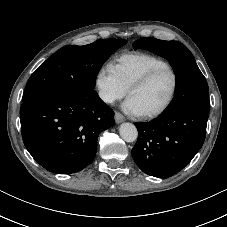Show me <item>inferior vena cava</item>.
Wrapping results in <instances>:
<instances>
[{
    "label": "inferior vena cava",
    "mask_w": 227,
    "mask_h": 227,
    "mask_svg": "<svg viewBox=\"0 0 227 227\" xmlns=\"http://www.w3.org/2000/svg\"><path fill=\"white\" fill-rule=\"evenodd\" d=\"M100 98L107 103H112L114 102V98L111 95L108 94H100Z\"/></svg>",
    "instance_id": "1"
}]
</instances>
